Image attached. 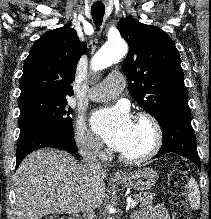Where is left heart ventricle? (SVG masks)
Segmentation results:
<instances>
[{
    "instance_id": "b2bd125f",
    "label": "left heart ventricle",
    "mask_w": 211,
    "mask_h": 219,
    "mask_svg": "<svg viewBox=\"0 0 211 219\" xmlns=\"http://www.w3.org/2000/svg\"><path fill=\"white\" fill-rule=\"evenodd\" d=\"M152 143V131L145 123H135L134 133L128 146L122 151L126 155H139Z\"/></svg>"
}]
</instances>
